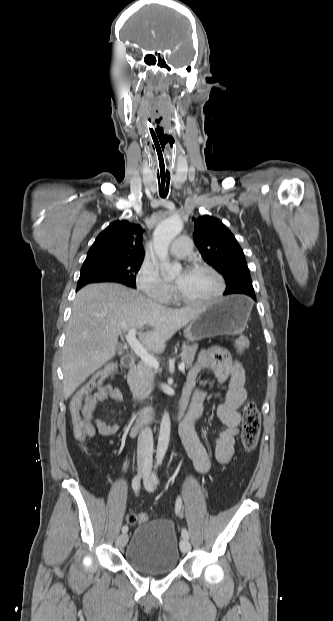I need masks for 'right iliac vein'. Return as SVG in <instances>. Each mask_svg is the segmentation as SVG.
Listing matches in <instances>:
<instances>
[{
	"label": "right iliac vein",
	"instance_id": "1",
	"mask_svg": "<svg viewBox=\"0 0 333 621\" xmlns=\"http://www.w3.org/2000/svg\"><path fill=\"white\" fill-rule=\"evenodd\" d=\"M138 472H139L140 475H142L144 477V475L146 473V468L143 465H139ZM127 541H128L127 533L121 534L116 539V546L118 548H123L126 545Z\"/></svg>",
	"mask_w": 333,
	"mask_h": 621
}]
</instances>
